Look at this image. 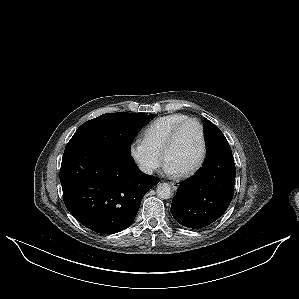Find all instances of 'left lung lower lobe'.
Masks as SVG:
<instances>
[{
    "label": "left lung lower lobe",
    "instance_id": "1",
    "mask_svg": "<svg viewBox=\"0 0 299 299\" xmlns=\"http://www.w3.org/2000/svg\"><path fill=\"white\" fill-rule=\"evenodd\" d=\"M235 176L232 152L212 151L200 170L180 183L171 205L175 220L193 229L216 221L233 198Z\"/></svg>",
    "mask_w": 299,
    "mask_h": 299
}]
</instances>
